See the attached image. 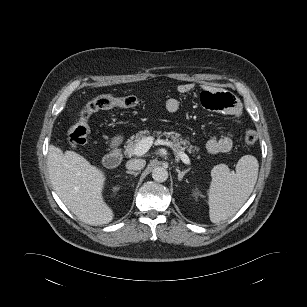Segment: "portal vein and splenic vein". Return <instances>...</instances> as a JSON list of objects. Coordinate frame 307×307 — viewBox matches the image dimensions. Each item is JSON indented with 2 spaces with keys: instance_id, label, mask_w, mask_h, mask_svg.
I'll use <instances>...</instances> for the list:
<instances>
[{
  "instance_id": "18ae733b",
  "label": "portal vein and splenic vein",
  "mask_w": 307,
  "mask_h": 307,
  "mask_svg": "<svg viewBox=\"0 0 307 307\" xmlns=\"http://www.w3.org/2000/svg\"><path fill=\"white\" fill-rule=\"evenodd\" d=\"M153 144L170 146L176 152L178 159H181L182 162L185 163V164H190V159L187 156V154H185L184 152L176 149L170 141L158 139L154 142V138L151 137V136L146 137L145 139H142L136 145L135 150H134V154L137 155V156L144 155L151 148V146Z\"/></svg>"
}]
</instances>
